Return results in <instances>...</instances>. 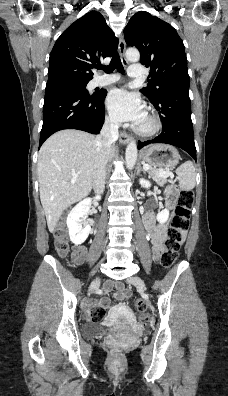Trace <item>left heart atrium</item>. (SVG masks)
<instances>
[{
  "mask_svg": "<svg viewBox=\"0 0 228 396\" xmlns=\"http://www.w3.org/2000/svg\"><path fill=\"white\" fill-rule=\"evenodd\" d=\"M106 105L115 121H127L139 125L146 115L140 97L126 89L112 90L107 97Z\"/></svg>",
  "mask_w": 228,
  "mask_h": 396,
  "instance_id": "39dd6f15",
  "label": "left heart atrium"
}]
</instances>
